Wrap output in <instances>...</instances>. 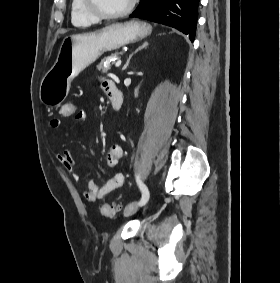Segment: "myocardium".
I'll return each mask as SVG.
<instances>
[{"mask_svg":"<svg viewBox=\"0 0 280 283\" xmlns=\"http://www.w3.org/2000/svg\"><path fill=\"white\" fill-rule=\"evenodd\" d=\"M86 11L98 20H116L129 15L135 7L136 0H130L129 5L121 12L108 14L100 10L94 0H83Z\"/></svg>","mask_w":280,"mask_h":283,"instance_id":"obj_1","label":"myocardium"}]
</instances>
